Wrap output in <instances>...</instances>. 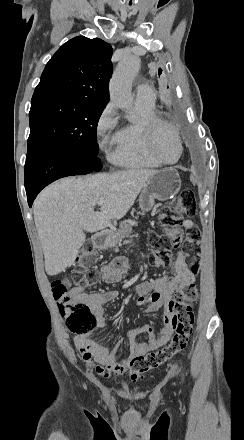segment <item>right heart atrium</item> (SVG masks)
<instances>
[{
    "instance_id": "1",
    "label": "right heart atrium",
    "mask_w": 244,
    "mask_h": 440,
    "mask_svg": "<svg viewBox=\"0 0 244 440\" xmlns=\"http://www.w3.org/2000/svg\"><path fill=\"white\" fill-rule=\"evenodd\" d=\"M118 121L117 107L111 101L104 107L96 122V134L103 148L110 145L111 132Z\"/></svg>"
}]
</instances>
